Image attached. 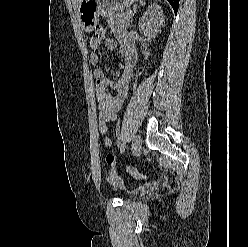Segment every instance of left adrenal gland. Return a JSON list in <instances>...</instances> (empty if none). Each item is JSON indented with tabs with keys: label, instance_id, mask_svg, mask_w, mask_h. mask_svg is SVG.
I'll use <instances>...</instances> for the list:
<instances>
[{
	"label": "left adrenal gland",
	"instance_id": "obj_1",
	"mask_svg": "<svg viewBox=\"0 0 248 247\" xmlns=\"http://www.w3.org/2000/svg\"><path fill=\"white\" fill-rule=\"evenodd\" d=\"M144 4L141 2L140 3V6H143ZM134 13H136V9L134 10ZM134 13H133V15H134Z\"/></svg>",
	"mask_w": 248,
	"mask_h": 247
}]
</instances>
